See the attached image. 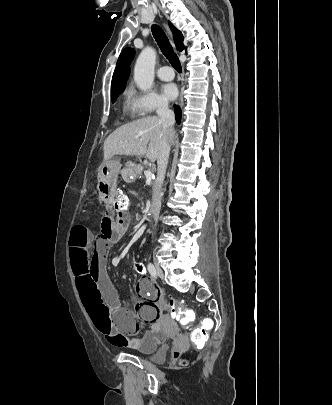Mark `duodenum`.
Segmentation results:
<instances>
[{
  "instance_id": "410a0bca",
  "label": "duodenum",
  "mask_w": 332,
  "mask_h": 405,
  "mask_svg": "<svg viewBox=\"0 0 332 405\" xmlns=\"http://www.w3.org/2000/svg\"><path fill=\"white\" fill-rule=\"evenodd\" d=\"M125 217H126V216H125V214H124L123 212H120V213H119V218H120V219H125Z\"/></svg>"
}]
</instances>
